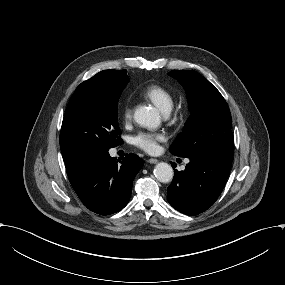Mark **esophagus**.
Instances as JSON below:
<instances>
[{
	"mask_svg": "<svg viewBox=\"0 0 285 285\" xmlns=\"http://www.w3.org/2000/svg\"><path fill=\"white\" fill-rule=\"evenodd\" d=\"M147 162L150 163V164H155V163L158 162V160L155 159V158H150V159L147 160Z\"/></svg>",
	"mask_w": 285,
	"mask_h": 285,
	"instance_id": "esophagus-1",
	"label": "esophagus"
}]
</instances>
